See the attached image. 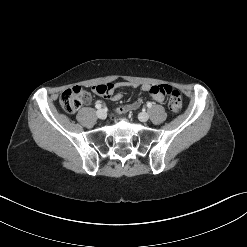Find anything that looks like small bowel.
<instances>
[{
    "mask_svg": "<svg viewBox=\"0 0 247 247\" xmlns=\"http://www.w3.org/2000/svg\"><path fill=\"white\" fill-rule=\"evenodd\" d=\"M140 87L142 91L148 93V91L155 85H150V84H139L137 82H119V83H114V84H109V89L108 91L103 94L102 96L112 100V101H118L122 97V92L121 88L122 87ZM149 95V94H148ZM91 97L87 94L85 103H90ZM135 101V100H134ZM124 107V106H123ZM125 111H120V113H124Z\"/></svg>",
    "mask_w": 247,
    "mask_h": 247,
    "instance_id": "small-bowel-1",
    "label": "small bowel"
}]
</instances>
